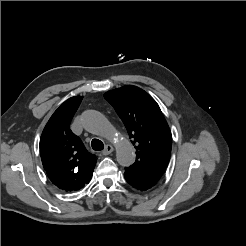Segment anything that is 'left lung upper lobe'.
Masks as SVG:
<instances>
[{
  "label": "left lung upper lobe",
  "instance_id": "5c2ea615",
  "mask_svg": "<svg viewBox=\"0 0 246 246\" xmlns=\"http://www.w3.org/2000/svg\"><path fill=\"white\" fill-rule=\"evenodd\" d=\"M104 98L123 121L136 149L130 168L159 181L171 154L172 136L156 101L144 90L127 85L110 90Z\"/></svg>",
  "mask_w": 246,
  "mask_h": 246
}]
</instances>
